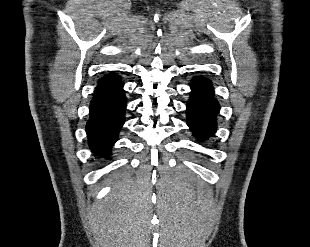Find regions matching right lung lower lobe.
I'll list each match as a JSON object with an SVG mask.
<instances>
[{"label":"right lung lower lobe","mask_w":310,"mask_h":247,"mask_svg":"<svg viewBox=\"0 0 310 247\" xmlns=\"http://www.w3.org/2000/svg\"><path fill=\"white\" fill-rule=\"evenodd\" d=\"M126 97L123 82L98 84L90 104V119L86 125L89 145L96 154L106 157L124 123Z\"/></svg>","instance_id":"obj_1"}]
</instances>
